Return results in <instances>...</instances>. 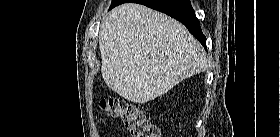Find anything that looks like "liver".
Returning <instances> with one entry per match:
<instances>
[{
	"mask_svg": "<svg viewBox=\"0 0 280 137\" xmlns=\"http://www.w3.org/2000/svg\"><path fill=\"white\" fill-rule=\"evenodd\" d=\"M105 83L119 96L143 104L207 68L201 44L184 25L143 5L109 12L99 33Z\"/></svg>",
	"mask_w": 280,
	"mask_h": 137,
	"instance_id": "1",
	"label": "liver"
}]
</instances>
